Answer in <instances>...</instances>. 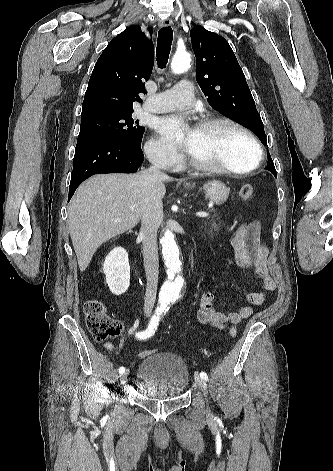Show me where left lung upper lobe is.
<instances>
[{
  "label": "left lung upper lobe",
  "instance_id": "left-lung-upper-lobe-1",
  "mask_svg": "<svg viewBox=\"0 0 333 471\" xmlns=\"http://www.w3.org/2000/svg\"><path fill=\"white\" fill-rule=\"evenodd\" d=\"M196 56V80L208 103L217 111L249 128L267 146L263 122L244 73L228 42L198 25L190 31ZM269 170L276 177L270 153Z\"/></svg>",
  "mask_w": 333,
  "mask_h": 471
}]
</instances>
